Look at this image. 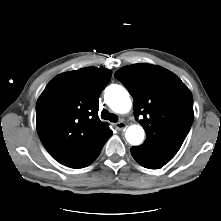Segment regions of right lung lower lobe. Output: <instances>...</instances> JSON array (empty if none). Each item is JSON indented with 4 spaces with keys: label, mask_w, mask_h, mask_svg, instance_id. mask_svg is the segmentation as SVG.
<instances>
[{
    "label": "right lung lower lobe",
    "mask_w": 221,
    "mask_h": 221,
    "mask_svg": "<svg viewBox=\"0 0 221 221\" xmlns=\"http://www.w3.org/2000/svg\"><path fill=\"white\" fill-rule=\"evenodd\" d=\"M113 134L112 130L108 131L103 137H101L98 141L93 143L88 149H86L81 155H79L74 160L65 164L71 168H83L90 165L100 154L104 144L109 139V137Z\"/></svg>",
    "instance_id": "right-lung-lower-lobe-1"
}]
</instances>
